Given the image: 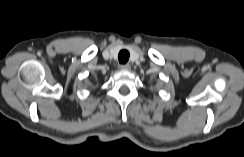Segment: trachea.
<instances>
[{"mask_svg": "<svg viewBox=\"0 0 244 157\" xmlns=\"http://www.w3.org/2000/svg\"><path fill=\"white\" fill-rule=\"evenodd\" d=\"M129 56L130 54L128 50H121L118 54V60L121 64H125L129 60Z\"/></svg>", "mask_w": 244, "mask_h": 157, "instance_id": "obj_1", "label": "trachea"}]
</instances>
